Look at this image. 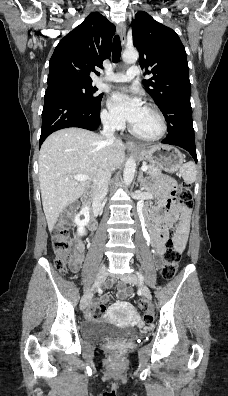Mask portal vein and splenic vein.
Here are the masks:
<instances>
[{"instance_id":"obj_1","label":"portal vein and splenic vein","mask_w":228,"mask_h":396,"mask_svg":"<svg viewBox=\"0 0 228 396\" xmlns=\"http://www.w3.org/2000/svg\"><path fill=\"white\" fill-rule=\"evenodd\" d=\"M147 169H148L147 165H142V167H141L142 171H146ZM73 178L75 180H78V181H86V180L89 179V177L87 175H84V174L75 175Z\"/></svg>"}]
</instances>
